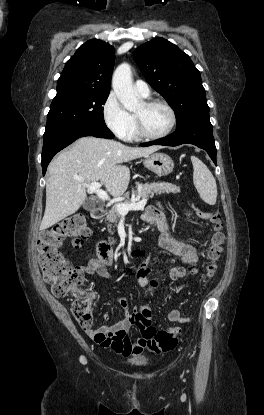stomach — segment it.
<instances>
[{"instance_id": "obj_1", "label": "stomach", "mask_w": 264, "mask_h": 415, "mask_svg": "<svg viewBox=\"0 0 264 415\" xmlns=\"http://www.w3.org/2000/svg\"><path fill=\"white\" fill-rule=\"evenodd\" d=\"M143 164L157 176H166L174 169L172 158L165 153H152L145 157Z\"/></svg>"}]
</instances>
